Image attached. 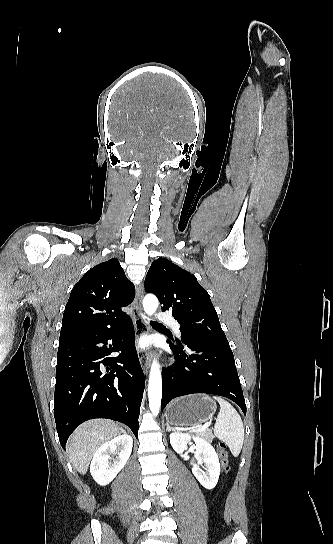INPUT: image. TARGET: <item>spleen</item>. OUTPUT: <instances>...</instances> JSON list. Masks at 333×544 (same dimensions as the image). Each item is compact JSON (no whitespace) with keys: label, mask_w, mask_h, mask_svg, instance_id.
I'll use <instances>...</instances> for the list:
<instances>
[{"label":"spleen","mask_w":333,"mask_h":544,"mask_svg":"<svg viewBox=\"0 0 333 544\" xmlns=\"http://www.w3.org/2000/svg\"><path fill=\"white\" fill-rule=\"evenodd\" d=\"M220 404L214 433L215 436L224 441L233 456L237 457L241 452L244 441V426L242 419L236 409L221 397H213Z\"/></svg>","instance_id":"1"}]
</instances>
